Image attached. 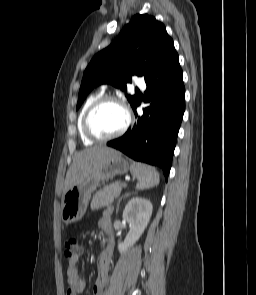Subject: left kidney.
<instances>
[{
	"label": "left kidney",
	"instance_id": "obj_1",
	"mask_svg": "<svg viewBox=\"0 0 256 295\" xmlns=\"http://www.w3.org/2000/svg\"><path fill=\"white\" fill-rule=\"evenodd\" d=\"M153 206L145 198L134 197L126 204L123 211V219L130 225V231L123 242L118 244L119 252L125 253L143 234L147 227Z\"/></svg>",
	"mask_w": 256,
	"mask_h": 295
}]
</instances>
